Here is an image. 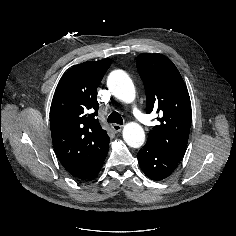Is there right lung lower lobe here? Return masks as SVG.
<instances>
[{
    "mask_svg": "<svg viewBox=\"0 0 236 236\" xmlns=\"http://www.w3.org/2000/svg\"><path fill=\"white\" fill-rule=\"evenodd\" d=\"M104 160L105 158L91 172H89L85 177H83L82 180H89V181L93 180L100 171Z\"/></svg>",
    "mask_w": 236,
    "mask_h": 236,
    "instance_id": "1",
    "label": "right lung lower lobe"
}]
</instances>
